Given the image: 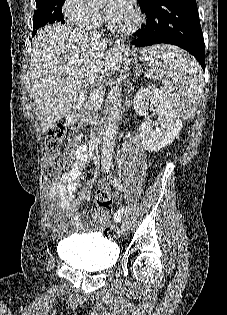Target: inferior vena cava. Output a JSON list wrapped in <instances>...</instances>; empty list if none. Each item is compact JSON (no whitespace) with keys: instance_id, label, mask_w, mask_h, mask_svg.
Masks as SVG:
<instances>
[{"instance_id":"602c4592","label":"inferior vena cava","mask_w":227,"mask_h":315,"mask_svg":"<svg viewBox=\"0 0 227 315\" xmlns=\"http://www.w3.org/2000/svg\"><path fill=\"white\" fill-rule=\"evenodd\" d=\"M93 36H99V34L97 33H92ZM111 161H107L105 159H102V167H109L110 166Z\"/></svg>"}]
</instances>
